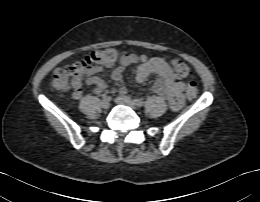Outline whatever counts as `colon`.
<instances>
[{"label": "colon", "instance_id": "obj_1", "mask_svg": "<svg viewBox=\"0 0 260 202\" xmlns=\"http://www.w3.org/2000/svg\"><path fill=\"white\" fill-rule=\"evenodd\" d=\"M118 57L119 52L115 48H103L93 51L71 65L56 69L50 81V88L57 92H69L74 77L92 69L100 70L105 67H111L116 63ZM172 68L178 78H190L193 75L192 69L180 59L172 61ZM197 94L196 82L193 80L188 81L186 87L188 99L195 100Z\"/></svg>", "mask_w": 260, "mask_h": 202}]
</instances>
